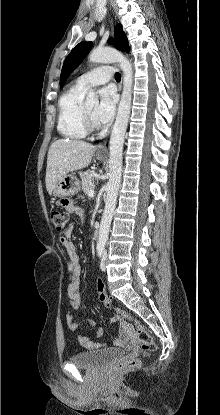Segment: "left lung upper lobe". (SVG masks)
<instances>
[{
	"label": "left lung upper lobe",
	"instance_id": "left-lung-upper-lobe-1",
	"mask_svg": "<svg viewBox=\"0 0 220 415\" xmlns=\"http://www.w3.org/2000/svg\"><path fill=\"white\" fill-rule=\"evenodd\" d=\"M110 44L114 43L115 48L121 51H129V44L127 37L122 29L121 24H117L114 32V39L108 41ZM92 47V42H80L77 44L70 54L65 59L60 76V86L65 84L66 79L70 73L75 70L82 62L84 57L89 53Z\"/></svg>",
	"mask_w": 220,
	"mask_h": 415
}]
</instances>
